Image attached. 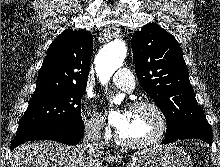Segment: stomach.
<instances>
[{
	"instance_id": "obj_1",
	"label": "stomach",
	"mask_w": 220,
	"mask_h": 167,
	"mask_svg": "<svg viewBox=\"0 0 220 167\" xmlns=\"http://www.w3.org/2000/svg\"><path fill=\"white\" fill-rule=\"evenodd\" d=\"M127 167H193V165L184 150L170 145L136 152Z\"/></svg>"
}]
</instances>
